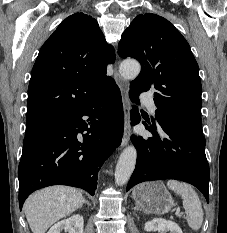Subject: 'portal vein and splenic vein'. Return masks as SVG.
Returning a JSON list of instances; mask_svg holds the SVG:
<instances>
[{
	"mask_svg": "<svg viewBox=\"0 0 227 233\" xmlns=\"http://www.w3.org/2000/svg\"><path fill=\"white\" fill-rule=\"evenodd\" d=\"M182 215H183V213L180 212L179 209H177L176 216H177V217H180V216H182Z\"/></svg>",
	"mask_w": 227,
	"mask_h": 233,
	"instance_id": "1",
	"label": "portal vein and splenic vein"
}]
</instances>
